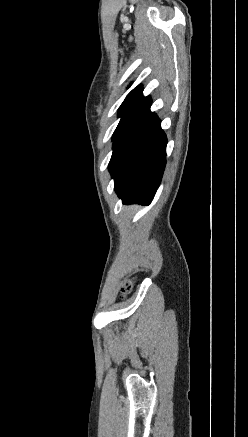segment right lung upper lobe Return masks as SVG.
Segmentation results:
<instances>
[{
    "label": "right lung upper lobe",
    "instance_id": "right-lung-upper-lobe-1",
    "mask_svg": "<svg viewBox=\"0 0 248 437\" xmlns=\"http://www.w3.org/2000/svg\"><path fill=\"white\" fill-rule=\"evenodd\" d=\"M143 91L142 85H138L135 89H133L128 96L130 95H140Z\"/></svg>",
    "mask_w": 248,
    "mask_h": 437
}]
</instances>
